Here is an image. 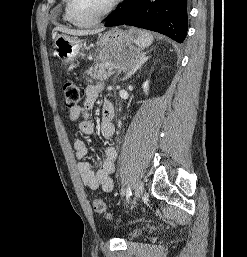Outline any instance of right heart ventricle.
I'll return each instance as SVG.
<instances>
[{
  "instance_id": "obj_1",
  "label": "right heart ventricle",
  "mask_w": 247,
  "mask_h": 257,
  "mask_svg": "<svg viewBox=\"0 0 247 257\" xmlns=\"http://www.w3.org/2000/svg\"><path fill=\"white\" fill-rule=\"evenodd\" d=\"M62 4H63V20L66 21V22H70V23H73L71 21V18L69 16V13H68V9H67V0H62Z\"/></svg>"
}]
</instances>
